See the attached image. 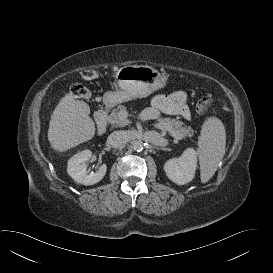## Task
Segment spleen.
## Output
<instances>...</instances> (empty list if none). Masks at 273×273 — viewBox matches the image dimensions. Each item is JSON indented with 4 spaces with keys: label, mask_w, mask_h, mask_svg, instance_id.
I'll list each match as a JSON object with an SVG mask.
<instances>
[{
    "label": "spleen",
    "mask_w": 273,
    "mask_h": 273,
    "mask_svg": "<svg viewBox=\"0 0 273 273\" xmlns=\"http://www.w3.org/2000/svg\"><path fill=\"white\" fill-rule=\"evenodd\" d=\"M226 131L222 121L208 117L202 126L198 140L201 182H208L225 155Z\"/></svg>",
    "instance_id": "3e777b00"
}]
</instances>
